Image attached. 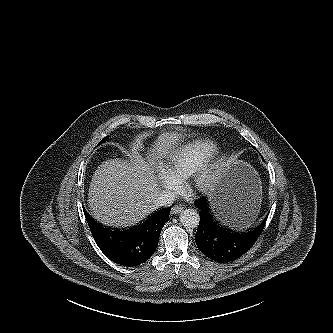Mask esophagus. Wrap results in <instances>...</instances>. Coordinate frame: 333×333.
<instances>
[{"label":"esophagus","mask_w":333,"mask_h":333,"mask_svg":"<svg viewBox=\"0 0 333 333\" xmlns=\"http://www.w3.org/2000/svg\"><path fill=\"white\" fill-rule=\"evenodd\" d=\"M182 211H183V207L180 205H176L171 208L172 214H178V213H181Z\"/></svg>","instance_id":"34e87169"}]
</instances>
